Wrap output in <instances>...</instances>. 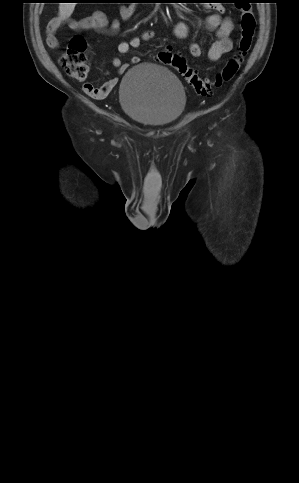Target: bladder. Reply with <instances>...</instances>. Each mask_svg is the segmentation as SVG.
<instances>
[{
  "mask_svg": "<svg viewBox=\"0 0 299 483\" xmlns=\"http://www.w3.org/2000/svg\"><path fill=\"white\" fill-rule=\"evenodd\" d=\"M119 102L134 120L152 127L176 122L186 107L181 81L171 71L153 63L128 69L119 86Z\"/></svg>",
  "mask_w": 299,
  "mask_h": 483,
  "instance_id": "bladder-1",
  "label": "bladder"
}]
</instances>
